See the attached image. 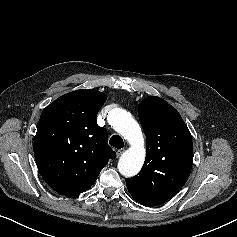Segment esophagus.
I'll return each mask as SVG.
<instances>
[{"label":"esophagus","instance_id":"34e87169","mask_svg":"<svg viewBox=\"0 0 237 237\" xmlns=\"http://www.w3.org/2000/svg\"><path fill=\"white\" fill-rule=\"evenodd\" d=\"M124 149H119L118 151H117V157H120L123 153H124Z\"/></svg>","mask_w":237,"mask_h":237}]
</instances>
